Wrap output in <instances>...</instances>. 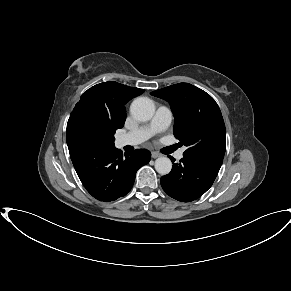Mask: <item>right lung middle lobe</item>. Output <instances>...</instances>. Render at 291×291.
I'll return each instance as SVG.
<instances>
[{
	"label": "right lung middle lobe",
	"instance_id": "1",
	"mask_svg": "<svg viewBox=\"0 0 291 291\" xmlns=\"http://www.w3.org/2000/svg\"><path fill=\"white\" fill-rule=\"evenodd\" d=\"M118 129L109 120L92 115H70L67 123V139L77 138L93 141L103 146H114V134Z\"/></svg>",
	"mask_w": 291,
	"mask_h": 291
}]
</instances>
